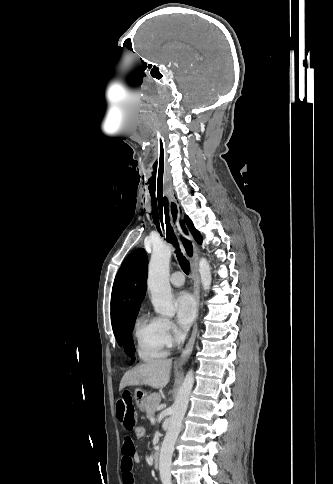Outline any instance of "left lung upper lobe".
I'll return each mask as SVG.
<instances>
[{"mask_svg":"<svg viewBox=\"0 0 333 484\" xmlns=\"http://www.w3.org/2000/svg\"><path fill=\"white\" fill-rule=\"evenodd\" d=\"M184 218H185V221H186V223H187V225H188V227H189V229H190V232L192 233V235H193L194 239H195V240H196V241H197L199 244H201V243H202V237H201V235H200L199 231H197V230L194 228L193 223H192V221H191V220L188 218V216H185Z\"/></svg>","mask_w":333,"mask_h":484,"instance_id":"left-lung-upper-lobe-1","label":"left lung upper lobe"}]
</instances>
